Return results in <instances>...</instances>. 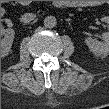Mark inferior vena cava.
Returning <instances> with one entry per match:
<instances>
[{
  "label": "inferior vena cava",
  "instance_id": "1",
  "mask_svg": "<svg viewBox=\"0 0 109 109\" xmlns=\"http://www.w3.org/2000/svg\"><path fill=\"white\" fill-rule=\"evenodd\" d=\"M36 18L35 14L32 13H25L22 17H21V21L24 23H30L31 21H33Z\"/></svg>",
  "mask_w": 109,
  "mask_h": 109
}]
</instances>
